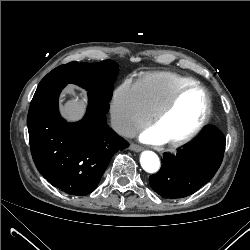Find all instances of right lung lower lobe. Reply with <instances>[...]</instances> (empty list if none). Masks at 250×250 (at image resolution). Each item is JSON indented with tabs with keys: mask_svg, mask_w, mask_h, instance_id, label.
<instances>
[{
	"mask_svg": "<svg viewBox=\"0 0 250 250\" xmlns=\"http://www.w3.org/2000/svg\"><path fill=\"white\" fill-rule=\"evenodd\" d=\"M65 86L37 88L27 117L30 148L44 178L68 194L83 196L94 191L113 155L128 143L106 124L109 102L93 93H88L84 118L66 122L58 110Z\"/></svg>",
	"mask_w": 250,
	"mask_h": 250,
	"instance_id": "right-lung-lower-lobe-1",
	"label": "right lung lower lobe"
}]
</instances>
